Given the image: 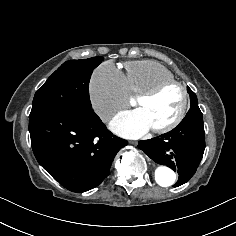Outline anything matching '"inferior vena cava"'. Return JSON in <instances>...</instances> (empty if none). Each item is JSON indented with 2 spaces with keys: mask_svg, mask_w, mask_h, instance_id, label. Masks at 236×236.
<instances>
[{
  "mask_svg": "<svg viewBox=\"0 0 236 236\" xmlns=\"http://www.w3.org/2000/svg\"><path fill=\"white\" fill-rule=\"evenodd\" d=\"M97 114L102 118V119H107L108 117L111 116L112 114V109L110 107H104L101 110L97 111Z\"/></svg>",
  "mask_w": 236,
  "mask_h": 236,
  "instance_id": "602c4592",
  "label": "inferior vena cava"
}]
</instances>
